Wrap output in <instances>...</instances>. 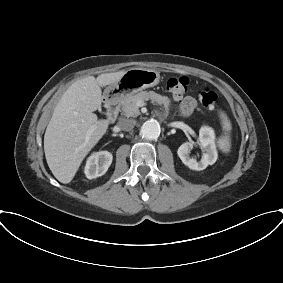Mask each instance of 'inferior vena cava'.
<instances>
[{
	"mask_svg": "<svg viewBox=\"0 0 283 283\" xmlns=\"http://www.w3.org/2000/svg\"><path fill=\"white\" fill-rule=\"evenodd\" d=\"M118 126L123 131H131L135 126V121L132 119H122L118 122Z\"/></svg>",
	"mask_w": 283,
	"mask_h": 283,
	"instance_id": "1",
	"label": "inferior vena cava"
}]
</instances>
